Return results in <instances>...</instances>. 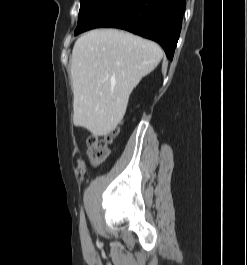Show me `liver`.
<instances>
[{"label": "liver", "mask_w": 247, "mask_h": 265, "mask_svg": "<svg viewBox=\"0 0 247 265\" xmlns=\"http://www.w3.org/2000/svg\"><path fill=\"white\" fill-rule=\"evenodd\" d=\"M162 59L154 42L116 29L82 35L72 51L73 121L106 136L123 119L129 96Z\"/></svg>", "instance_id": "6515ba94"}]
</instances>
